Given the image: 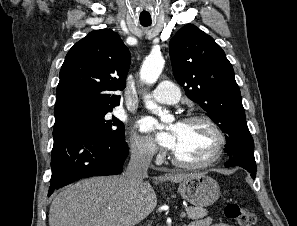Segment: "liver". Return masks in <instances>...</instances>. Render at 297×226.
<instances>
[{
  "label": "liver",
  "instance_id": "1",
  "mask_svg": "<svg viewBox=\"0 0 297 226\" xmlns=\"http://www.w3.org/2000/svg\"><path fill=\"white\" fill-rule=\"evenodd\" d=\"M192 175L170 174L159 180L178 183ZM156 205L149 182L131 189L123 175L93 177L68 186L53 199L49 226H134Z\"/></svg>",
  "mask_w": 297,
  "mask_h": 226
}]
</instances>
